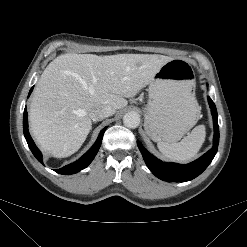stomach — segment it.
I'll return each mask as SVG.
<instances>
[{"label":"stomach","instance_id":"obj_1","mask_svg":"<svg viewBox=\"0 0 247 247\" xmlns=\"http://www.w3.org/2000/svg\"><path fill=\"white\" fill-rule=\"evenodd\" d=\"M192 77L188 62L172 59L150 81L144 128L153 141L177 142L197 123L200 109L192 103Z\"/></svg>","mask_w":247,"mask_h":247}]
</instances>
